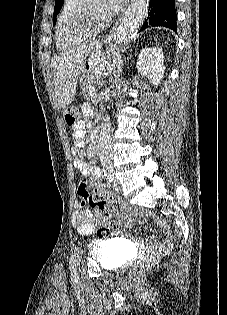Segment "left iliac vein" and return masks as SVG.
Listing matches in <instances>:
<instances>
[{
    "label": "left iliac vein",
    "mask_w": 227,
    "mask_h": 315,
    "mask_svg": "<svg viewBox=\"0 0 227 315\" xmlns=\"http://www.w3.org/2000/svg\"><path fill=\"white\" fill-rule=\"evenodd\" d=\"M113 187H114L116 192L119 193L121 191L120 182L117 178H115L113 181Z\"/></svg>",
    "instance_id": "left-iliac-vein-1"
}]
</instances>
